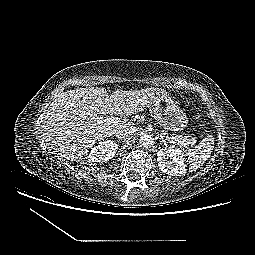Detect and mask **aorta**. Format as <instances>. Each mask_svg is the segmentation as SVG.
I'll return each instance as SVG.
<instances>
[{"label":"aorta","instance_id":"1","mask_svg":"<svg viewBox=\"0 0 255 255\" xmlns=\"http://www.w3.org/2000/svg\"><path fill=\"white\" fill-rule=\"evenodd\" d=\"M139 141L143 147H151L154 144V138L149 134L141 135Z\"/></svg>","mask_w":255,"mask_h":255}]
</instances>
